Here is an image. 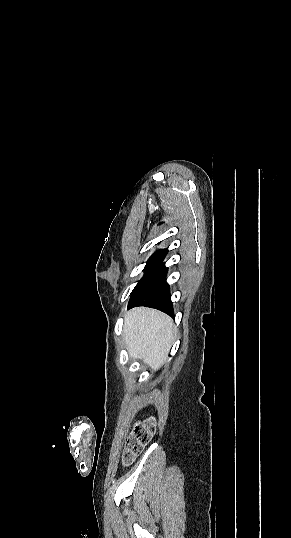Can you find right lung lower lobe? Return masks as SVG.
Masks as SVG:
<instances>
[{
    "label": "right lung lower lobe",
    "instance_id": "right-lung-lower-lobe-1",
    "mask_svg": "<svg viewBox=\"0 0 291 538\" xmlns=\"http://www.w3.org/2000/svg\"><path fill=\"white\" fill-rule=\"evenodd\" d=\"M166 274L167 268L165 264L158 265L131 296L128 309L146 306L174 316Z\"/></svg>",
    "mask_w": 291,
    "mask_h": 538
}]
</instances>
